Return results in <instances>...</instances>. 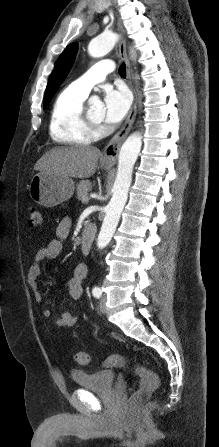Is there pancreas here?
Segmentation results:
<instances>
[{
	"label": "pancreas",
	"mask_w": 219,
	"mask_h": 447,
	"mask_svg": "<svg viewBox=\"0 0 219 447\" xmlns=\"http://www.w3.org/2000/svg\"><path fill=\"white\" fill-rule=\"evenodd\" d=\"M91 182L89 180H82L77 184V198L82 200L84 196H87L90 189Z\"/></svg>",
	"instance_id": "pancreas-1"
}]
</instances>
